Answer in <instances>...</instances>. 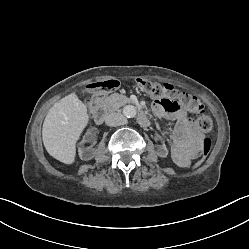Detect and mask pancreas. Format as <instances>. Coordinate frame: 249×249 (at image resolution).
<instances>
[{
    "mask_svg": "<svg viewBox=\"0 0 249 249\" xmlns=\"http://www.w3.org/2000/svg\"><path fill=\"white\" fill-rule=\"evenodd\" d=\"M131 100L129 98H127L124 95L118 94V93H114L111 94L110 96H108L105 100H104V104L117 109L121 106H123L126 103H130Z\"/></svg>",
    "mask_w": 249,
    "mask_h": 249,
    "instance_id": "1",
    "label": "pancreas"
}]
</instances>
